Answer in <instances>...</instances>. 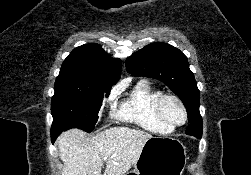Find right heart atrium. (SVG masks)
Instances as JSON below:
<instances>
[{
    "label": "right heart atrium",
    "mask_w": 251,
    "mask_h": 175,
    "mask_svg": "<svg viewBox=\"0 0 251 175\" xmlns=\"http://www.w3.org/2000/svg\"><path fill=\"white\" fill-rule=\"evenodd\" d=\"M116 100H117V92L116 90L113 89L111 90L107 98L103 101V105L107 106L110 110H112L116 104Z\"/></svg>",
    "instance_id": "d8ad5b80"
}]
</instances>
